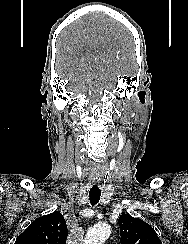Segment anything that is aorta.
I'll return each mask as SVG.
<instances>
[{"label":"aorta","mask_w":188,"mask_h":244,"mask_svg":"<svg viewBox=\"0 0 188 244\" xmlns=\"http://www.w3.org/2000/svg\"><path fill=\"white\" fill-rule=\"evenodd\" d=\"M111 228L107 224H96L91 227L84 239L83 244H103L110 236Z\"/></svg>","instance_id":"aorta-1"}]
</instances>
